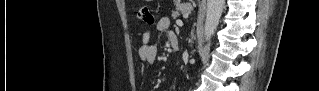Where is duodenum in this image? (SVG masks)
<instances>
[{
  "mask_svg": "<svg viewBox=\"0 0 319 91\" xmlns=\"http://www.w3.org/2000/svg\"><path fill=\"white\" fill-rule=\"evenodd\" d=\"M170 44H171V47H172L173 50H178V48H179V41H178L176 35L173 34V35L170 37Z\"/></svg>",
  "mask_w": 319,
  "mask_h": 91,
  "instance_id": "410a0bca",
  "label": "duodenum"
}]
</instances>
